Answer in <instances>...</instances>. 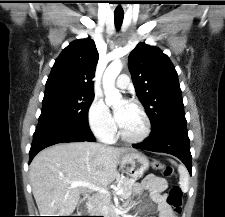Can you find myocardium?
Masks as SVG:
<instances>
[{
  "label": "myocardium",
  "instance_id": "f54148a6",
  "mask_svg": "<svg viewBox=\"0 0 225 217\" xmlns=\"http://www.w3.org/2000/svg\"><path fill=\"white\" fill-rule=\"evenodd\" d=\"M130 104L135 107L139 113L142 116L143 119V128L142 131L140 132V134L136 135V136H129L127 134H125L121 127L119 126V131L118 134L120 136V138L128 143H140L143 142L144 140H146L148 138V136L151 133V121L150 118L145 110V108L143 107V105L136 101V100H130Z\"/></svg>",
  "mask_w": 225,
  "mask_h": 217
}]
</instances>
